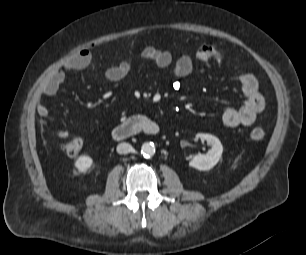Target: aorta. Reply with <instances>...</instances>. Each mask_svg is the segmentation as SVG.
<instances>
[{
    "mask_svg": "<svg viewBox=\"0 0 306 255\" xmlns=\"http://www.w3.org/2000/svg\"><path fill=\"white\" fill-rule=\"evenodd\" d=\"M156 148L153 142H146L141 146V153L144 157H152Z\"/></svg>",
    "mask_w": 306,
    "mask_h": 255,
    "instance_id": "obj_1",
    "label": "aorta"
}]
</instances>
